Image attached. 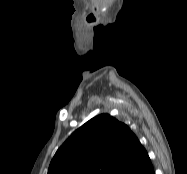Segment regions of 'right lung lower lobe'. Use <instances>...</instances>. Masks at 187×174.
Instances as JSON below:
<instances>
[{
	"label": "right lung lower lobe",
	"instance_id": "1",
	"mask_svg": "<svg viewBox=\"0 0 187 174\" xmlns=\"http://www.w3.org/2000/svg\"><path fill=\"white\" fill-rule=\"evenodd\" d=\"M150 174H155V173H154V171H153V172H151Z\"/></svg>",
	"mask_w": 187,
	"mask_h": 174
}]
</instances>
